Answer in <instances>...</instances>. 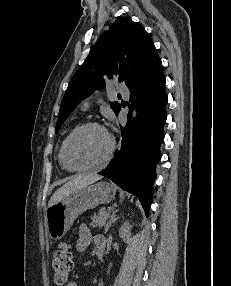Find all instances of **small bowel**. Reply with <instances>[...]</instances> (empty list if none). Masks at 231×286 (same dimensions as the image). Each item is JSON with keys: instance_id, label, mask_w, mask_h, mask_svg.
I'll list each match as a JSON object with an SVG mask.
<instances>
[{"instance_id": "c3829d8e", "label": "small bowel", "mask_w": 231, "mask_h": 286, "mask_svg": "<svg viewBox=\"0 0 231 286\" xmlns=\"http://www.w3.org/2000/svg\"><path fill=\"white\" fill-rule=\"evenodd\" d=\"M102 236H93L90 228L86 224H82L79 227V237L76 242V249L78 252H85L91 245L97 247V242L102 239ZM93 282L96 283V278L93 279ZM66 286H78L75 282H70Z\"/></svg>"}]
</instances>
